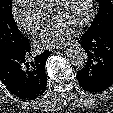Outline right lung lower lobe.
I'll return each instance as SVG.
<instances>
[{
	"instance_id": "obj_1",
	"label": "right lung lower lobe",
	"mask_w": 113,
	"mask_h": 113,
	"mask_svg": "<svg viewBox=\"0 0 113 113\" xmlns=\"http://www.w3.org/2000/svg\"><path fill=\"white\" fill-rule=\"evenodd\" d=\"M50 52L45 50L35 57L30 55V44L25 38L0 57V80L6 88L22 100H34L47 86L45 63Z\"/></svg>"
}]
</instances>
